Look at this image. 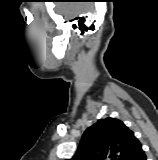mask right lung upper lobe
Listing matches in <instances>:
<instances>
[{
    "instance_id": "cb5924a9",
    "label": "right lung upper lobe",
    "mask_w": 158,
    "mask_h": 160,
    "mask_svg": "<svg viewBox=\"0 0 158 160\" xmlns=\"http://www.w3.org/2000/svg\"><path fill=\"white\" fill-rule=\"evenodd\" d=\"M141 143L121 120L105 118L86 129L70 160H131Z\"/></svg>"
}]
</instances>
